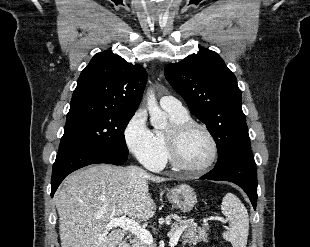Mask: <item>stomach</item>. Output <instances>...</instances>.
<instances>
[{"instance_id": "obj_1", "label": "stomach", "mask_w": 310, "mask_h": 247, "mask_svg": "<svg viewBox=\"0 0 310 247\" xmlns=\"http://www.w3.org/2000/svg\"><path fill=\"white\" fill-rule=\"evenodd\" d=\"M167 197L172 206L183 213L190 212L197 203L195 191L186 184H182L169 190Z\"/></svg>"}]
</instances>
